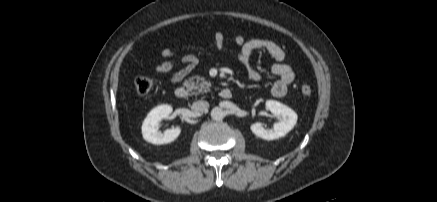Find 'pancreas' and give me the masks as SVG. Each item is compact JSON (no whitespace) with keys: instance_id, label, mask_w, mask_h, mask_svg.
I'll list each match as a JSON object with an SVG mask.
<instances>
[{"instance_id":"1","label":"pancreas","mask_w":437,"mask_h":202,"mask_svg":"<svg viewBox=\"0 0 437 202\" xmlns=\"http://www.w3.org/2000/svg\"><path fill=\"white\" fill-rule=\"evenodd\" d=\"M184 85L189 90H197L198 92H193V94H198L201 92H206L211 87V83L206 81L203 77L193 76L189 80L185 81Z\"/></svg>"}]
</instances>
